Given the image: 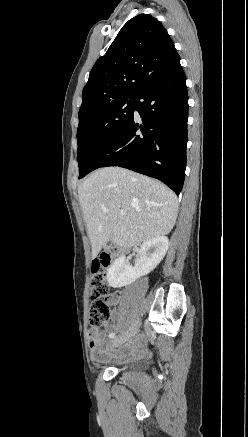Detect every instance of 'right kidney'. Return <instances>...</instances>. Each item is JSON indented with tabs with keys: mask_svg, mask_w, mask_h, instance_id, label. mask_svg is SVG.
Returning a JSON list of instances; mask_svg holds the SVG:
<instances>
[{
	"mask_svg": "<svg viewBox=\"0 0 248 437\" xmlns=\"http://www.w3.org/2000/svg\"><path fill=\"white\" fill-rule=\"evenodd\" d=\"M169 248L166 236L156 237L143 242L137 252V261L131 266L125 256L114 261L107 273L110 286L120 288L130 285L138 278L149 274L164 258Z\"/></svg>",
	"mask_w": 248,
	"mask_h": 437,
	"instance_id": "1",
	"label": "right kidney"
}]
</instances>
